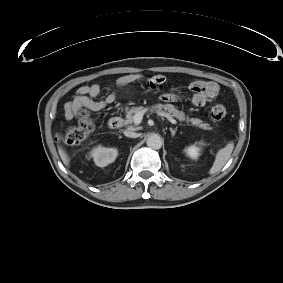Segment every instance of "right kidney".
<instances>
[{"instance_id": "ca27d5eb", "label": "right kidney", "mask_w": 283, "mask_h": 283, "mask_svg": "<svg viewBox=\"0 0 283 283\" xmlns=\"http://www.w3.org/2000/svg\"><path fill=\"white\" fill-rule=\"evenodd\" d=\"M118 151L115 148L98 146L91 152L94 162L99 167H105L115 161Z\"/></svg>"}]
</instances>
